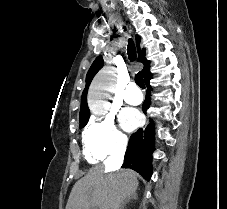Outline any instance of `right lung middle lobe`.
I'll use <instances>...</instances> for the list:
<instances>
[{
    "mask_svg": "<svg viewBox=\"0 0 227 209\" xmlns=\"http://www.w3.org/2000/svg\"><path fill=\"white\" fill-rule=\"evenodd\" d=\"M89 120V117L87 118H80V128H83Z\"/></svg>",
    "mask_w": 227,
    "mask_h": 209,
    "instance_id": "right-lung-middle-lobe-1",
    "label": "right lung middle lobe"
}]
</instances>
